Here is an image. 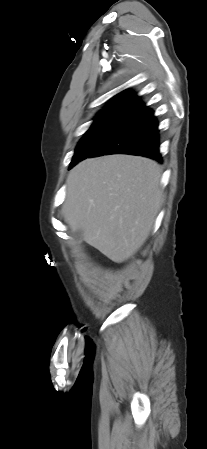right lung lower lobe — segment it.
Here are the masks:
<instances>
[{
  "mask_svg": "<svg viewBox=\"0 0 207 449\" xmlns=\"http://www.w3.org/2000/svg\"><path fill=\"white\" fill-rule=\"evenodd\" d=\"M158 124L150 109L138 113L89 157L109 154L140 155L161 161Z\"/></svg>",
  "mask_w": 207,
  "mask_h": 449,
  "instance_id": "1",
  "label": "right lung lower lobe"
}]
</instances>
